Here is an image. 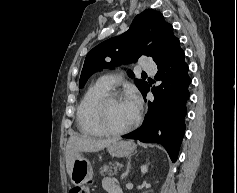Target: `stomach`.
Masks as SVG:
<instances>
[{
	"label": "stomach",
	"instance_id": "obj_1",
	"mask_svg": "<svg viewBox=\"0 0 237 193\" xmlns=\"http://www.w3.org/2000/svg\"><path fill=\"white\" fill-rule=\"evenodd\" d=\"M136 148V145L131 141L117 140L107 147L110 155L113 157H127ZM71 181L74 185H82L93 177V169L89 160L85 159L80 153L75 155L72 170Z\"/></svg>",
	"mask_w": 237,
	"mask_h": 193
}]
</instances>
